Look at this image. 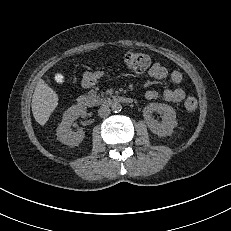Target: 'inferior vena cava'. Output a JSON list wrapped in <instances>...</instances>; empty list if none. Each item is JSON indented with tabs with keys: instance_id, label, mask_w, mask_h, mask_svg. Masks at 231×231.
Listing matches in <instances>:
<instances>
[{
	"instance_id": "inferior-vena-cava-1",
	"label": "inferior vena cava",
	"mask_w": 231,
	"mask_h": 231,
	"mask_svg": "<svg viewBox=\"0 0 231 231\" xmlns=\"http://www.w3.org/2000/svg\"><path fill=\"white\" fill-rule=\"evenodd\" d=\"M110 108L106 105L100 107V109L98 110V115L102 118L107 117L110 114Z\"/></svg>"
}]
</instances>
